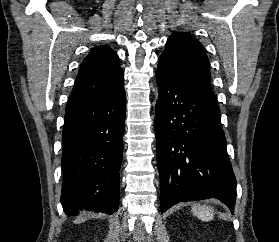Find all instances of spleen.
<instances>
[{
	"label": "spleen",
	"mask_w": 279,
	"mask_h": 242,
	"mask_svg": "<svg viewBox=\"0 0 279 242\" xmlns=\"http://www.w3.org/2000/svg\"><path fill=\"white\" fill-rule=\"evenodd\" d=\"M192 212L195 216L204 221H210L214 218V210L209 206L196 204L192 208Z\"/></svg>",
	"instance_id": "spleen-1"
}]
</instances>
